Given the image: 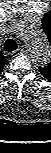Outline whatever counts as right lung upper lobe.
Wrapping results in <instances>:
<instances>
[{"label": "right lung upper lobe", "mask_w": 51, "mask_h": 153, "mask_svg": "<svg viewBox=\"0 0 51 153\" xmlns=\"http://www.w3.org/2000/svg\"><path fill=\"white\" fill-rule=\"evenodd\" d=\"M6 62L7 60L5 59L4 55L0 51V74Z\"/></svg>", "instance_id": "obj_1"}]
</instances>
